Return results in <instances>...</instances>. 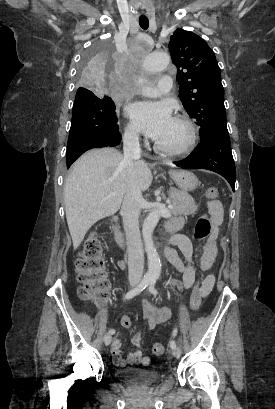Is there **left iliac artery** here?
I'll return each instance as SVG.
<instances>
[{
	"label": "left iliac artery",
	"mask_w": 275,
	"mask_h": 409,
	"mask_svg": "<svg viewBox=\"0 0 275 409\" xmlns=\"http://www.w3.org/2000/svg\"><path fill=\"white\" fill-rule=\"evenodd\" d=\"M156 280H157V277L152 278L151 281H150V284H149V291L154 295L157 294V290L155 289ZM176 334H177V329L175 328L174 331H173V336L175 337ZM170 348L171 349L176 348V343H175L174 340L170 341Z\"/></svg>",
	"instance_id": "1"
}]
</instances>
